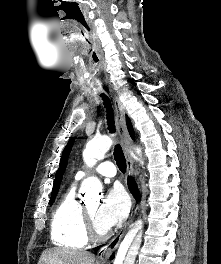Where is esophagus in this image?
Instances as JSON below:
<instances>
[{
	"mask_svg": "<svg viewBox=\"0 0 221 264\" xmlns=\"http://www.w3.org/2000/svg\"><path fill=\"white\" fill-rule=\"evenodd\" d=\"M109 91L114 103L116 127L121 138L122 147L126 158L127 173L129 176H131L134 174V168L133 161L130 156L131 140L125 124L124 107L121 101L119 100L118 95L111 88H109ZM136 211V201L133 199V205L128 220L124 223V225L117 232V234L106 245L102 246L99 249L97 253V258L100 262L105 263L109 256L112 254V252L116 250L126 232V229L133 222Z\"/></svg>",
	"mask_w": 221,
	"mask_h": 264,
	"instance_id": "34e87169",
	"label": "esophagus"
}]
</instances>
